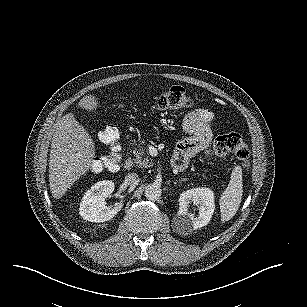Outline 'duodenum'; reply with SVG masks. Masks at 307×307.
<instances>
[{
  "instance_id": "1",
  "label": "duodenum",
  "mask_w": 307,
  "mask_h": 307,
  "mask_svg": "<svg viewBox=\"0 0 307 307\" xmlns=\"http://www.w3.org/2000/svg\"><path fill=\"white\" fill-rule=\"evenodd\" d=\"M132 167H133V160L131 157L128 156L123 163V168L124 170L129 171L132 169Z\"/></svg>"
}]
</instances>
